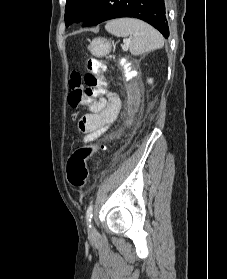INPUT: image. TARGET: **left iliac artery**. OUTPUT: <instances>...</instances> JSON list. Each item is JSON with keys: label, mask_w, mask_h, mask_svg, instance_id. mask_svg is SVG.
Wrapping results in <instances>:
<instances>
[{"label": "left iliac artery", "mask_w": 227, "mask_h": 279, "mask_svg": "<svg viewBox=\"0 0 227 279\" xmlns=\"http://www.w3.org/2000/svg\"><path fill=\"white\" fill-rule=\"evenodd\" d=\"M92 210H93V205L90 204L86 211V220H87L89 227H91L90 223H91V218H92Z\"/></svg>", "instance_id": "1"}]
</instances>
